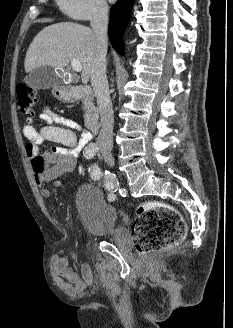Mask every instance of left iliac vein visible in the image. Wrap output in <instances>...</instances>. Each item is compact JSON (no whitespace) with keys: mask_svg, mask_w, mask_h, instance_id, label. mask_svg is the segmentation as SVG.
<instances>
[{"mask_svg":"<svg viewBox=\"0 0 233 328\" xmlns=\"http://www.w3.org/2000/svg\"><path fill=\"white\" fill-rule=\"evenodd\" d=\"M104 161L109 165V166H113L114 165V158L112 156V154L108 151H103L102 152Z\"/></svg>","mask_w":233,"mask_h":328,"instance_id":"1","label":"left iliac vein"}]
</instances>
